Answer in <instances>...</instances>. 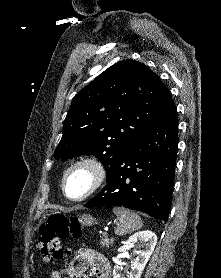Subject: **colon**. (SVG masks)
I'll list each match as a JSON object with an SVG mask.
<instances>
[{"instance_id":"5ec220e1","label":"colon","mask_w":221,"mask_h":278,"mask_svg":"<svg viewBox=\"0 0 221 278\" xmlns=\"http://www.w3.org/2000/svg\"><path fill=\"white\" fill-rule=\"evenodd\" d=\"M82 227L76 217L68 218L62 214H54L39 227L37 247L43 259L50 264L61 260L66 252L61 244L68 237H79Z\"/></svg>"}]
</instances>
